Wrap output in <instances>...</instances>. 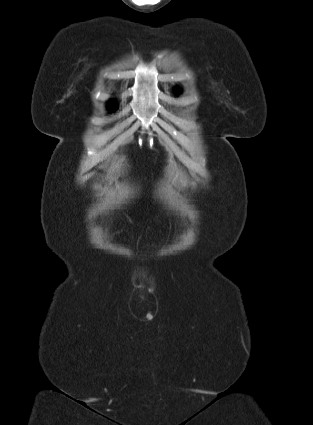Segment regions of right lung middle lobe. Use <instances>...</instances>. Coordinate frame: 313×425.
<instances>
[{
  "instance_id": "right-lung-middle-lobe-1",
  "label": "right lung middle lobe",
  "mask_w": 313,
  "mask_h": 425,
  "mask_svg": "<svg viewBox=\"0 0 313 425\" xmlns=\"http://www.w3.org/2000/svg\"><path fill=\"white\" fill-rule=\"evenodd\" d=\"M110 107H111V109H114L115 108V106L113 104H111Z\"/></svg>"
}]
</instances>
